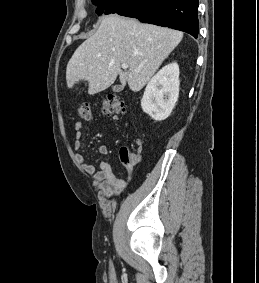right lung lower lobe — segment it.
<instances>
[{
	"label": "right lung lower lobe",
	"mask_w": 259,
	"mask_h": 283,
	"mask_svg": "<svg viewBox=\"0 0 259 283\" xmlns=\"http://www.w3.org/2000/svg\"><path fill=\"white\" fill-rule=\"evenodd\" d=\"M103 5L107 13L198 36V0H104Z\"/></svg>",
	"instance_id": "98d812e1"
}]
</instances>
